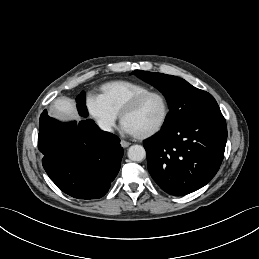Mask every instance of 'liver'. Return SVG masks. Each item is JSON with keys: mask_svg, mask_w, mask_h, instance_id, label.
Segmentation results:
<instances>
[{"mask_svg": "<svg viewBox=\"0 0 259 259\" xmlns=\"http://www.w3.org/2000/svg\"><path fill=\"white\" fill-rule=\"evenodd\" d=\"M52 116L57 118H75L79 119L74 102L69 98H59L53 103Z\"/></svg>", "mask_w": 259, "mask_h": 259, "instance_id": "1", "label": "liver"}]
</instances>
